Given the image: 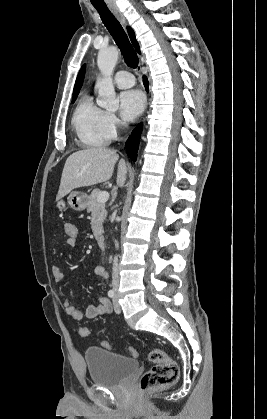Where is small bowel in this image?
<instances>
[{
    "label": "small bowel",
    "mask_w": 267,
    "mask_h": 419,
    "mask_svg": "<svg viewBox=\"0 0 267 419\" xmlns=\"http://www.w3.org/2000/svg\"><path fill=\"white\" fill-rule=\"evenodd\" d=\"M68 246V245H67ZM70 248H75L68 246ZM54 280L58 283L65 280V274L62 269L58 266H53L51 269ZM94 274L103 279H107L108 274L103 266H96L94 269ZM62 305L66 313L74 320H81L85 315L87 318H96L99 316H105L111 312V304L107 298L101 297L97 305H89L86 307L85 312L83 313L78 309L70 298H65L62 302Z\"/></svg>",
    "instance_id": "small-bowel-1"
}]
</instances>
